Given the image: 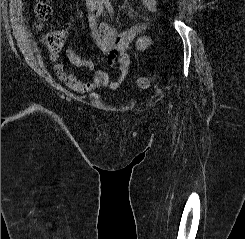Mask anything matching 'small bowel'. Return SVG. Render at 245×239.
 <instances>
[{"label": "small bowel", "mask_w": 245, "mask_h": 239, "mask_svg": "<svg viewBox=\"0 0 245 239\" xmlns=\"http://www.w3.org/2000/svg\"><path fill=\"white\" fill-rule=\"evenodd\" d=\"M143 3L149 11L156 9V0H143ZM89 25L93 42L106 56L108 67L113 68L118 65V74L114 79H111L105 71H96L92 81H82L65 69L59 52L51 53L49 60L55 63L54 72L57 77L75 92H91L100 87L116 90L123 84L128 75L130 58L127 54V49L141 32L142 26L136 25L127 31L119 32L116 28L106 23L98 24L93 15H90ZM59 34L64 40L65 33L61 32ZM149 44L150 40L146 36L138 37L136 40L137 48L140 50L146 49ZM65 55L74 67L94 70V63L91 60L81 58L73 48L67 47Z\"/></svg>", "instance_id": "1"}]
</instances>
